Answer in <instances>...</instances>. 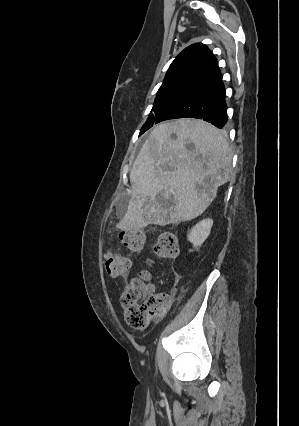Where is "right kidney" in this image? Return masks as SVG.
Masks as SVG:
<instances>
[{"label": "right kidney", "mask_w": 299, "mask_h": 426, "mask_svg": "<svg viewBox=\"0 0 299 426\" xmlns=\"http://www.w3.org/2000/svg\"><path fill=\"white\" fill-rule=\"evenodd\" d=\"M213 225L212 219H204L196 224L188 234L190 241L195 248L200 247L210 234Z\"/></svg>", "instance_id": "obj_1"}]
</instances>
